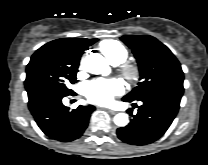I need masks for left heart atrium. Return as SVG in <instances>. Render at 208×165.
<instances>
[{
    "mask_svg": "<svg viewBox=\"0 0 208 165\" xmlns=\"http://www.w3.org/2000/svg\"><path fill=\"white\" fill-rule=\"evenodd\" d=\"M122 92L123 85L117 79H96L85 86V96L89 101L99 105L109 104Z\"/></svg>",
    "mask_w": 208,
    "mask_h": 165,
    "instance_id": "left-heart-atrium-1",
    "label": "left heart atrium"
}]
</instances>
